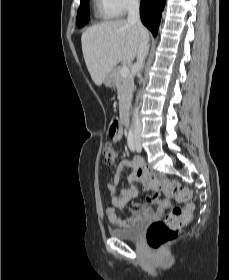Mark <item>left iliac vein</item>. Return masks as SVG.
I'll list each match as a JSON object with an SVG mask.
<instances>
[{
  "mask_svg": "<svg viewBox=\"0 0 229 280\" xmlns=\"http://www.w3.org/2000/svg\"><path fill=\"white\" fill-rule=\"evenodd\" d=\"M141 150H142V148H141L140 142L137 141V142H136V151H137V152H141Z\"/></svg>",
  "mask_w": 229,
  "mask_h": 280,
  "instance_id": "obj_1",
  "label": "left iliac vein"
}]
</instances>
